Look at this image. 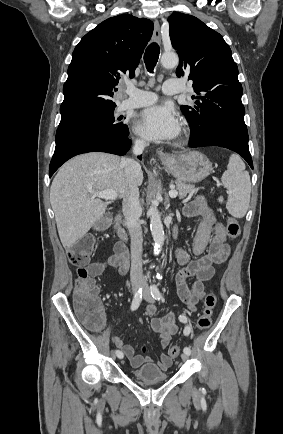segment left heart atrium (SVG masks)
<instances>
[{
  "instance_id": "39dd6f15",
  "label": "left heart atrium",
  "mask_w": 283,
  "mask_h": 434,
  "mask_svg": "<svg viewBox=\"0 0 283 434\" xmlns=\"http://www.w3.org/2000/svg\"><path fill=\"white\" fill-rule=\"evenodd\" d=\"M135 129L150 140H170L179 134L180 120L171 105H154L139 114Z\"/></svg>"
}]
</instances>
